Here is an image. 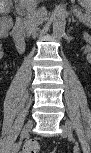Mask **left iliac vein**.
Returning a JSON list of instances; mask_svg holds the SVG:
<instances>
[{
    "label": "left iliac vein",
    "mask_w": 91,
    "mask_h": 153,
    "mask_svg": "<svg viewBox=\"0 0 91 153\" xmlns=\"http://www.w3.org/2000/svg\"><path fill=\"white\" fill-rule=\"evenodd\" d=\"M69 123L70 122H67L66 124H69ZM66 124L62 125V132H61L62 137H68V135H67L68 130H67Z\"/></svg>",
    "instance_id": "left-iliac-vein-1"
}]
</instances>
